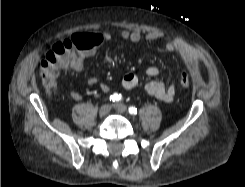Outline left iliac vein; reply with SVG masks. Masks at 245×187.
<instances>
[{
    "mask_svg": "<svg viewBox=\"0 0 245 187\" xmlns=\"http://www.w3.org/2000/svg\"><path fill=\"white\" fill-rule=\"evenodd\" d=\"M114 108L119 112V113H124L127 111V106L122 104V103H117L114 105Z\"/></svg>",
    "mask_w": 245,
    "mask_h": 187,
    "instance_id": "left-iliac-vein-1",
    "label": "left iliac vein"
}]
</instances>
